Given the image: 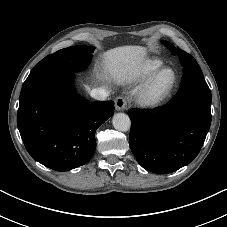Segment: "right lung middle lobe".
Segmentation results:
<instances>
[{
  "mask_svg": "<svg viewBox=\"0 0 227 227\" xmlns=\"http://www.w3.org/2000/svg\"><path fill=\"white\" fill-rule=\"evenodd\" d=\"M94 49L91 46H74L48 55L36 64L23 85H28L46 76L85 70L91 61Z\"/></svg>",
  "mask_w": 227,
  "mask_h": 227,
  "instance_id": "dd1d6c3e",
  "label": "right lung middle lobe"
}]
</instances>
